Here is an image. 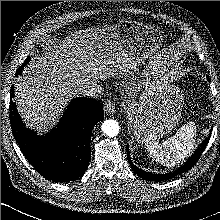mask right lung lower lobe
Returning a JSON list of instances; mask_svg holds the SVG:
<instances>
[{
	"instance_id": "1",
	"label": "right lung lower lobe",
	"mask_w": 220,
	"mask_h": 220,
	"mask_svg": "<svg viewBox=\"0 0 220 220\" xmlns=\"http://www.w3.org/2000/svg\"><path fill=\"white\" fill-rule=\"evenodd\" d=\"M13 94L12 86L11 98ZM9 110L16 142L28 162L44 178L69 182L84 174L91 158L92 130L104 118L101 103L84 97L73 99L57 128L45 136H38L25 127L12 99Z\"/></svg>"
}]
</instances>
